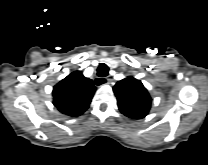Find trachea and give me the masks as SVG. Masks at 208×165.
<instances>
[{
  "mask_svg": "<svg viewBox=\"0 0 208 165\" xmlns=\"http://www.w3.org/2000/svg\"><path fill=\"white\" fill-rule=\"evenodd\" d=\"M108 72H109V68L106 64L102 63L99 65L98 69H97V75L99 77H105L108 75ZM99 80V79H98ZM97 80V85H99L100 83L98 82Z\"/></svg>",
  "mask_w": 208,
  "mask_h": 165,
  "instance_id": "trachea-1",
  "label": "trachea"
}]
</instances>
